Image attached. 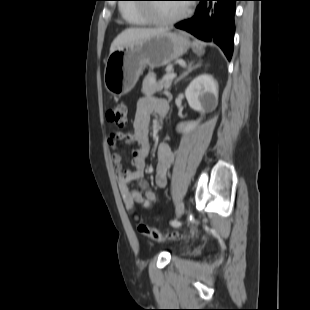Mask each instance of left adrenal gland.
Returning <instances> with one entry per match:
<instances>
[{"instance_id": "left-adrenal-gland-1", "label": "left adrenal gland", "mask_w": 310, "mask_h": 310, "mask_svg": "<svg viewBox=\"0 0 310 310\" xmlns=\"http://www.w3.org/2000/svg\"><path fill=\"white\" fill-rule=\"evenodd\" d=\"M201 64H197V65H193V62L189 63L187 70L179 77L175 80L174 84L176 85L179 81H181L182 79H184L187 75H189V73H191L193 70L197 69L198 67H200Z\"/></svg>"}]
</instances>
